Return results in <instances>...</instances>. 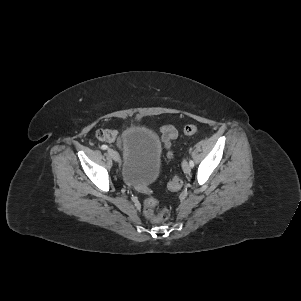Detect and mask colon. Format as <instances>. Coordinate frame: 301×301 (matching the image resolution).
Listing matches in <instances>:
<instances>
[{
	"label": "colon",
	"mask_w": 301,
	"mask_h": 301,
	"mask_svg": "<svg viewBox=\"0 0 301 301\" xmlns=\"http://www.w3.org/2000/svg\"><path fill=\"white\" fill-rule=\"evenodd\" d=\"M198 128L196 125H187L184 128V133L186 135H193L197 132ZM98 139L102 141H112L114 139V134L109 130H101L97 133ZM168 156L170 158L174 157L172 152H169ZM182 186V179L179 176H175L169 183V188L173 191L180 189ZM158 205V200L154 197H148L144 200V213L148 218L154 219L156 221H166L170 217V211L167 208L160 209L157 213L154 212V208Z\"/></svg>",
	"instance_id": "5ec220e1"
}]
</instances>
